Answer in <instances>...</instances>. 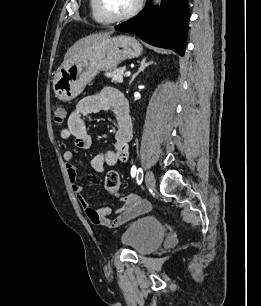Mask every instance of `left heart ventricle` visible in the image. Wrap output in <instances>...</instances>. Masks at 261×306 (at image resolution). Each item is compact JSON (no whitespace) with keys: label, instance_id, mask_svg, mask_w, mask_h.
I'll list each match as a JSON object with an SVG mask.
<instances>
[{"label":"left heart ventricle","instance_id":"obj_1","mask_svg":"<svg viewBox=\"0 0 261 306\" xmlns=\"http://www.w3.org/2000/svg\"><path fill=\"white\" fill-rule=\"evenodd\" d=\"M108 10L115 15H122L130 11L137 0H104Z\"/></svg>","mask_w":261,"mask_h":306}]
</instances>
